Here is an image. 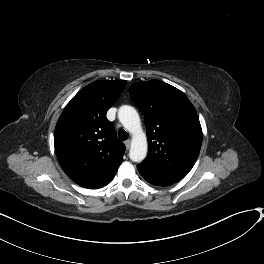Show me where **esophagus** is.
<instances>
[{"label": "esophagus", "instance_id": "1", "mask_svg": "<svg viewBox=\"0 0 264 264\" xmlns=\"http://www.w3.org/2000/svg\"><path fill=\"white\" fill-rule=\"evenodd\" d=\"M130 144H131L130 139H128V140L125 141V146H126L127 148L130 147Z\"/></svg>", "mask_w": 264, "mask_h": 264}]
</instances>
